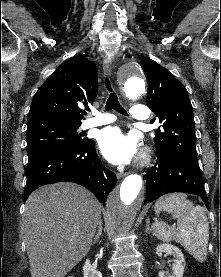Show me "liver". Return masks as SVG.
Masks as SVG:
<instances>
[{
  "instance_id": "1",
  "label": "liver",
  "mask_w": 221,
  "mask_h": 277,
  "mask_svg": "<svg viewBox=\"0 0 221 277\" xmlns=\"http://www.w3.org/2000/svg\"><path fill=\"white\" fill-rule=\"evenodd\" d=\"M102 206L74 183L41 187L25 204L23 230L31 277H64L89 252Z\"/></svg>"
}]
</instances>
